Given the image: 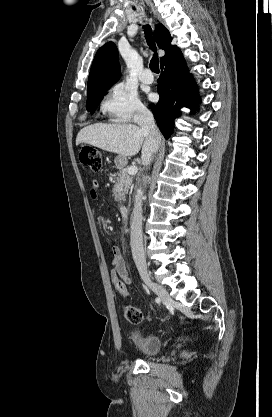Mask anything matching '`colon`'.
<instances>
[{
  "mask_svg": "<svg viewBox=\"0 0 272 417\" xmlns=\"http://www.w3.org/2000/svg\"><path fill=\"white\" fill-rule=\"evenodd\" d=\"M80 161L82 164L90 167L92 170H99L102 165L100 152L90 145H84L80 149ZM113 285L117 292L123 296L128 295V289L126 284L119 278L113 281ZM124 317L127 321L138 324L143 319L141 310L135 305H125L123 308Z\"/></svg>",
  "mask_w": 272,
  "mask_h": 417,
  "instance_id": "1",
  "label": "colon"
}]
</instances>
